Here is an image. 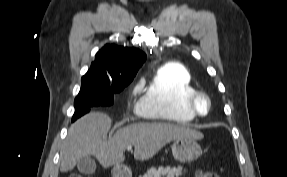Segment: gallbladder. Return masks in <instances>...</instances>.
<instances>
[{"label": "gallbladder", "instance_id": "1", "mask_svg": "<svg viewBox=\"0 0 287 177\" xmlns=\"http://www.w3.org/2000/svg\"><path fill=\"white\" fill-rule=\"evenodd\" d=\"M77 168L81 174L91 175L96 170V162L91 156H85L78 160Z\"/></svg>", "mask_w": 287, "mask_h": 177}]
</instances>
